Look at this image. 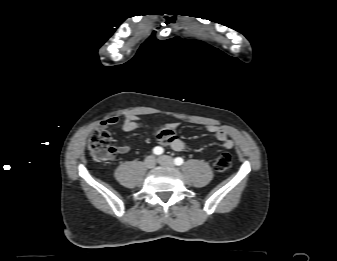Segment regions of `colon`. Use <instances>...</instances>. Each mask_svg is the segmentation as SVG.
I'll return each mask as SVG.
<instances>
[{
	"label": "colon",
	"mask_w": 337,
	"mask_h": 261,
	"mask_svg": "<svg viewBox=\"0 0 337 261\" xmlns=\"http://www.w3.org/2000/svg\"><path fill=\"white\" fill-rule=\"evenodd\" d=\"M88 150L91 158L100 164L107 163L114 155L115 149L111 146V137L107 131H94L88 142ZM231 166V156L229 153H221L214 164L218 172L226 171Z\"/></svg>",
	"instance_id": "5ec220e1"
}]
</instances>
